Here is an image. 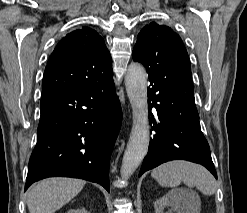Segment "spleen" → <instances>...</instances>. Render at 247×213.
Wrapping results in <instances>:
<instances>
[{
  "instance_id": "spleen-1",
  "label": "spleen",
  "mask_w": 247,
  "mask_h": 213,
  "mask_svg": "<svg viewBox=\"0 0 247 213\" xmlns=\"http://www.w3.org/2000/svg\"><path fill=\"white\" fill-rule=\"evenodd\" d=\"M151 176L164 187H176L183 182L190 188H198L204 195L216 192L212 174L203 166L191 162L176 160L164 163L152 170Z\"/></svg>"
}]
</instances>
